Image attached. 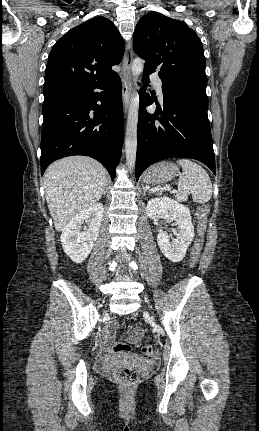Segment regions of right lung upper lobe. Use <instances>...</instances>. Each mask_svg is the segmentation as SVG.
I'll use <instances>...</instances> for the list:
<instances>
[{
  "label": "right lung upper lobe",
  "mask_w": 259,
  "mask_h": 431,
  "mask_svg": "<svg viewBox=\"0 0 259 431\" xmlns=\"http://www.w3.org/2000/svg\"><path fill=\"white\" fill-rule=\"evenodd\" d=\"M124 42L107 18L94 17L68 31L53 46L45 70L43 93L106 81L116 73Z\"/></svg>",
  "instance_id": "obj_1"
}]
</instances>
